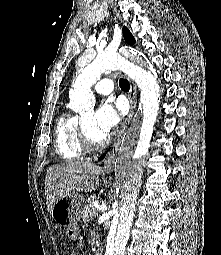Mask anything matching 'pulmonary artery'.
Returning <instances> with one entry per match:
<instances>
[{
	"label": "pulmonary artery",
	"instance_id": "obj_1",
	"mask_svg": "<svg viewBox=\"0 0 221 255\" xmlns=\"http://www.w3.org/2000/svg\"><path fill=\"white\" fill-rule=\"evenodd\" d=\"M93 88L99 94L108 95V94L112 93V91L114 89V84L111 79L104 78V79H100L99 81H97L94 84Z\"/></svg>",
	"mask_w": 221,
	"mask_h": 255
}]
</instances>
